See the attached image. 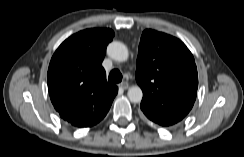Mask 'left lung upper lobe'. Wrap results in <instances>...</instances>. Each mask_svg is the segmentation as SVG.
Here are the masks:
<instances>
[{
    "mask_svg": "<svg viewBox=\"0 0 244 157\" xmlns=\"http://www.w3.org/2000/svg\"><path fill=\"white\" fill-rule=\"evenodd\" d=\"M136 81L143 91L145 116L160 126L174 125L189 113L196 99L194 57L179 39L147 29L139 44Z\"/></svg>",
    "mask_w": 244,
    "mask_h": 157,
    "instance_id": "obj_1",
    "label": "left lung upper lobe"
}]
</instances>
